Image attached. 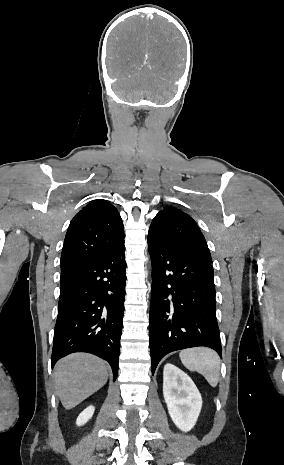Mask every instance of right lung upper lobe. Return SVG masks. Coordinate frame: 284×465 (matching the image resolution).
Wrapping results in <instances>:
<instances>
[{"instance_id":"1","label":"right lung upper lobe","mask_w":284,"mask_h":465,"mask_svg":"<svg viewBox=\"0 0 284 465\" xmlns=\"http://www.w3.org/2000/svg\"><path fill=\"white\" fill-rule=\"evenodd\" d=\"M124 243V227L117 209L97 199L72 219L61 254V272L90 264Z\"/></svg>"}]
</instances>
